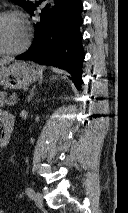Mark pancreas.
<instances>
[{"mask_svg":"<svg viewBox=\"0 0 128 213\" xmlns=\"http://www.w3.org/2000/svg\"><path fill=\"white\" fill-rule=\"evenodd\" d=\"M6 96H7L6 92H0V107H4L5 105L11 106L15 104L16 100L15 94L10 96V99H7Z\"/></svg>","mask_w":128,"mask_h":213,"instance_id":"cf45deb5","label":"pancreas"}]
</instances>
